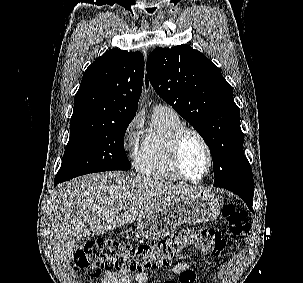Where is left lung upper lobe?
I'll list each match as a JSON object with an SVG mask.
<instances>
[{"label": "left lung upper lobe", "mask_w": 303, "mask_h": 283, "mask_svg": "<svg viewBox=\"0 0 303 283\" xmlns=\"http://www.w3.org/2000/svg\"><path fill=\"white\" fill-rule=\"evenodd\" d=\"M156 93L187 120L208 145L216 187L254 188L243 153L244 134L232 87L219 68L189 45L156 48L147 59Z\"/></svg>", "instance_id": "obj_1"}]
</instances>
